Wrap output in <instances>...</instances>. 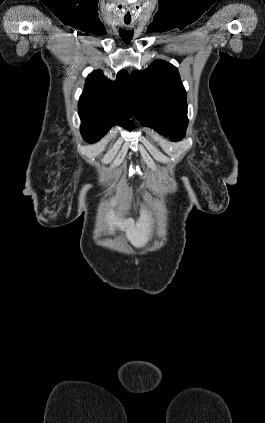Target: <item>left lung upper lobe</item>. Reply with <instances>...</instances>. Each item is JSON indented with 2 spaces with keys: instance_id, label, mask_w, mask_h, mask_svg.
Here are the masks:
<instances>
[{
  "instance_id": "1",
  "label": "left lung upper lobe",
  "mask_w": 265,
  "mask_h": 423,
  "mask_svg": "<svg viewBox=\"0 0 265 423\" xmlns=\"http://www.w3.org/2000/svg\"><path fill=\"white\" fill-rule=\"evenodd\" d=\"M135 117L144 126L181 140L188 125L186 91L176 67L157 60L143 72L131 74Z\"/></svg>"
}]
</instances>
